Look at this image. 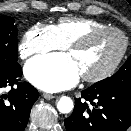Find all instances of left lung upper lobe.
Masks as SVG:
<instances>
[{
  "label": "left lung upper lobe",
  "instance_id": "obj_1",
  "mask_svg": "<svg viewBox=\"0 0 131 131\" xmlns=\"http://www.w3.org/2000/svg\"><path fill=\"white\" fill-rule=\"evenodd\" d=\"M102 90H124L131 92V56L113 76L92 85Z\"/></svg>",
  "mask_w": 131,
  "mask_h": 131
}]
</instances>
